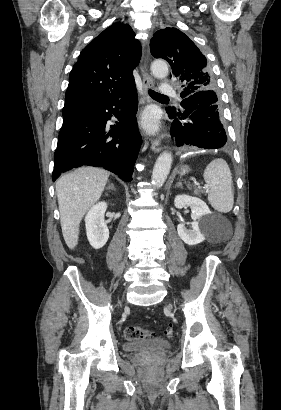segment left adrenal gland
Segmentation results:
<instances>
[{"instance_id":"1","label":"left adrenal gland","mask_w":281,"mask_h":410,"mask_svg":"<svg viewBox=\"0 0 281 410\" xmlns=\"http://www.w3.org/2000/svg\"><path fill=\"white\" fill-rule=\"evenodd\" d=\"M176 187L182 188V183H181V182H178V183L176 184Z\"/></svg>"}]
</instances>
